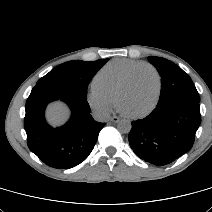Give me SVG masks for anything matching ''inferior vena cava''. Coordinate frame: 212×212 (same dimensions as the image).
I'll return each mask as SVG.
<instances>
[{"label": "inferior vena cava", "mask_w": 212, "mask_h": 212, "mask_svg": "<svg viewBox=\"0 0 212 212\" xmlns=\"http://www.w3.org/2000/svg\"><path fill=\"white\" fill-rule=\"evenodd\" d=\"M93 118L99 122H106L110 119V114L106 110L95 109L92 113Z\"/></svg>", "instance_id": "602c4592"}]
</instances>
